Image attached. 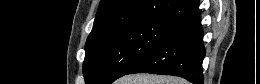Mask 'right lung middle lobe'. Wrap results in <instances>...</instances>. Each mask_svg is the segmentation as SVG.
I'll use <instances>...</instances> for the list:
<instances>
[{"label": "right lung middle lobe", "mask_w": 260, "mask_h": 84, "mask_svg": "<svg viewBox=\"0 0 260 84\" xmlns=\"http://www.w3.org/2000/svg\"><path fill=\"white\" fill-rule=\"evenodd\" d=\"M173 24L146 21L123 26L86 43L85 84H110L143 59L172 29Z\"/></svg>", "instance_id": "1"}]
</instances>
